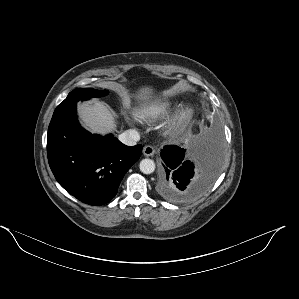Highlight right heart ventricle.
I'll return each mask as SVG.
<instances>
[{"label":"right heart ventricle","instance_id":"e07e8e85","mask_svg":"<svg viewBox=\"0 0 299 299\" xmlns=\"http://www.w3.org/2000/svg\"><path fill=\"white\" fill-rule=\"evenodd\" d=\"M172 107L173 102L162 97L142 104L136 109L135 115L139 120L153 122L164 118Z\"/></svg>","mask_w":299,"mask_h":299}]
</instances>
